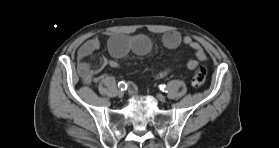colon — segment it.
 Instances as JSON below:
<instances>
[{
	"instance_id": "colon-1",
	"label": "colon",
	"mask_w": 279,
	"mask_h": 148,
	"mask_svg": "<svg viewBox=\"0 0 279 148\" xmlns=\"http://www.w3.org/2000/svg\"><path fill=\"white\" fill-rule=\"evenodd\" d=\"M206 77H207L206 67L205 66L198 67L195 70L192 80H191L192 86L195 88L201 87L205 83Z\"/></svg>"
}]
</instances>
